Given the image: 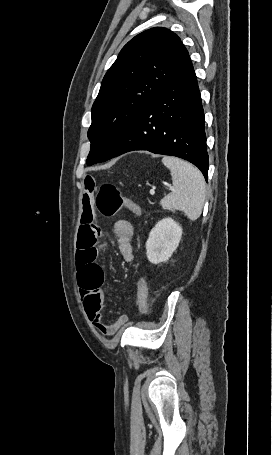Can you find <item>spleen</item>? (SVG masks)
<instances>
[{
	"label": "spleen",
	"mask_w": 272,
	"mask_h": 455,
	"mask_svg": "<svg viewBox=\"0 0 272 455\" xmlns=\"http://www.w3.org/2000/svg\"><path fill=\"white\" fill-rule=\"evenodd\" d=\"M162 162L171 172L173 189L160 201V205L170 210H180L192 221L198 219L206 194L202 173L190 163L176 157L165 156Z\"/></svg>",
	"instance_id": "3e777b00"
}]
</instances>
